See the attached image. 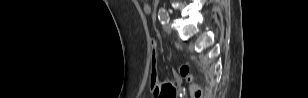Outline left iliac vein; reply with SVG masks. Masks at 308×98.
I'll list each match as a JSON object with an SVG mask.
<instances>
[{"label": "left iliac vein", "mask_w": 308, "mask_h": 98, "mask_svg": "<svg viewBox=\"0 0 308 98\" xmlns=\"http://www.w3.org/2000/svg\"><path fill=\"white\" fill-rule=\"evenodd\" d=\"M164 31L167 32V33H170V32H171V26H170L168 23H166V24L164 25Z\"/></svg>", "instance_id": "obj_1"}]
</instances>
